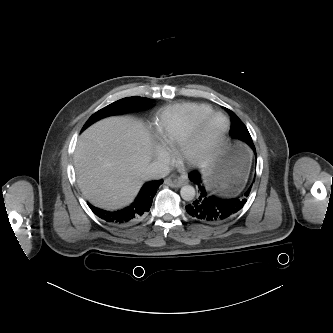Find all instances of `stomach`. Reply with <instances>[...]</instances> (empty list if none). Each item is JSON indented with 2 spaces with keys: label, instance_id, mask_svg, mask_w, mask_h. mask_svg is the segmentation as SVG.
I'll return each instance as SVG.
<instances>
[{
  "label": "stomach",
  "instance_id": "stomach-1",
  "mask_svg": "<svg viewBox=\"0 0 333 333\" xmlns=\"http://www.w3.org/2000/svg\"><path fill=\"white\" fill-rule=\"evenodd\" d=\"M250 152L242 145L222 149L204 172L208 189L223 196L236 195L246 178L251 162Z\"/></svg>",
  "mask_w": 333,
  "mask_h": 333
}]
</instances>
